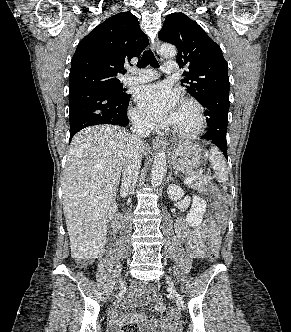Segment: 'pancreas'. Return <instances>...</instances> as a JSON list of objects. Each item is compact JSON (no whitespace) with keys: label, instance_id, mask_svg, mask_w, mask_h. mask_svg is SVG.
I'll list each match as a JSON object with an SVG mask.
<instances>
[{"label":"pancreas","instance_id":"obj_1","mask_svg":"<svg viewBox=\"0 0 291 332\" xmlns=\"http://www.w3.org/2000/svg\"><path fill=\"white\" fill-rule=\"evenodd\" d=\"M211 183V177L209 176H197L195 180L189 184V187L194 190L203 191L205 186Z\"/></svg>","mask_w":291,"mask_h":332}]
</instances>
